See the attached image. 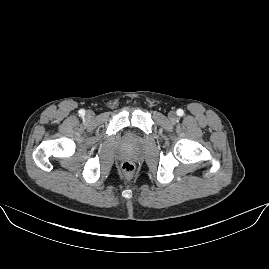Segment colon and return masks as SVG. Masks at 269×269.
Masks as SVG:
<instances>
[{
    "label": "colon",
    "mask_w": 269,
    "mask_h": 269,
    "mask_svg": "<svg viewBox=\"0 0 269 269\" xmlns=\"http://www.w3.org/2000/svg\"><path fill=\"white\" fill-rule=\"evenodd\" d=\"M120 172L123 176H132L135 172V165L131 161H124L120 166Z\"/></svg>",
    "instance_id": "colon-1"
}]
</instances>
